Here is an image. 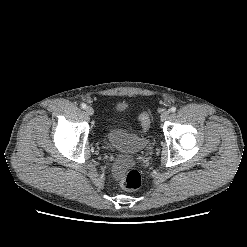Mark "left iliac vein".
Instances as JSON below:
<instances>
[{
    "mask_svg": "<svg viewBox=\"0 0 247 247\" xmlns=\"http://www.w3.org/2000/svg\"><path fill=\"white\" fill-rule=\"evenodd\" d=\"M169 114H170V112L168 110L162 112V114L160 116L161 121L166 120L168 118Z\"/></svg>",
    "mask_w": 247,
    "mask_h": 247,
    "instance_id": "4c4485c4",
    "label": "left iliac vein"
}]
</instances>
